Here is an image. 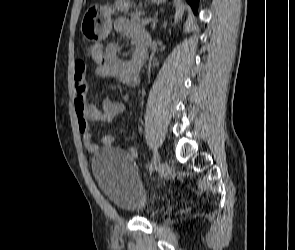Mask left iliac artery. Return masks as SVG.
Instances as JSON below:
<instances>
[{"mask_svg":"<svg viewBox=\"0 0 295 250\" xmlns=\"http://www.w3.org/2000/svg\"><path fill=\"white\" fill-rule=\"evenodd\" d=\"M157 164H158V162L153 158L152 163H151L150 168H149L150 174H152L154 169L157 167Z\"/></svg>","mask_w":295,"mask_h":250,"instance_id":"left-iliac-artery-1","label":"left iliac artery"}]
</instances>
